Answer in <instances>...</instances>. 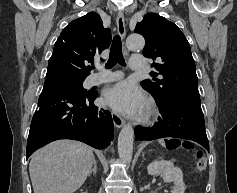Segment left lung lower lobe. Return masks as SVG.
Instances as JSON below:
<instances>
[{
    "label": "left lung lower lobe",
    "instance_id": "obj_1",
    "mask_svg": "<svg viewBox=\"0 0 237 193\" xmlns=\"http://www.w3.org/2000/svg\"><path fill=\"white\" fill-rule=\"evenodd\" d=\"M162 117L152 128L136 127L137 140H154L164 137L188 139L201 144L209 151L204 116L200 102L185 101L172 105L157 103Z\"/></svg>",
    "mask_w": 237,
    "mask_h": 193
}]
</instances>
